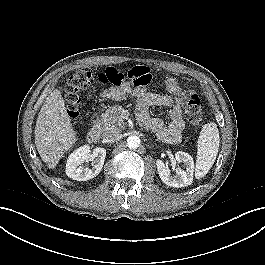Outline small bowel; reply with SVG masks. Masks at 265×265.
<instances>
[{
	"mask_svg": "<svg viewBox=\"0 0 265 265\" xmlns=\"http://www.w3.org/2000/svg\"><path fill=\"white\" fill-rule=\"evenodd\" d=\"M137 77L146 80L144 84H138L132 80L125 81L118 87H110L104 91V96L114 101H120L127 94H133L137 99V116L141 124L149 127L162 141L169 144L180 142L185 129L183 119V106L187 94L174 78H168L164 82L168 95H161L147 91L146 86L150 81L149 70L146 67L137 66L130 70ZM168 107L170 123H165L161 118L151 117L149 108Z\"/></svg>",
	"mask_w": 265,
	"mask_h": 265,
	"instance_id": "small-bowel-1",
	"label": "small bowel"
}]
</instances>
